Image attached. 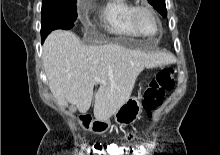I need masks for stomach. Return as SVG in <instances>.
Here are the masks:
<instances>
[{"label": "stomach", "mask_w": 220, "mask_h": 155, "mask_svg": "<svg viewBox=\"0 0 220 155\" xmlns=\"http://www.w3.org/2000/svg\"><path fill=\"white\" fill-rule=\"evenodd\" d=\"M140 94L138 96L130 97L124 102L120 108L115 112L114 119L120 126H128L136 122L141 117L142 100ZM111 126L110 120H92L84 128L91 132L101 134L106 132Z\"/></svg>", "instance_id": "stomach-1"}]
</instances>
